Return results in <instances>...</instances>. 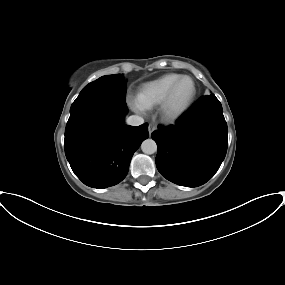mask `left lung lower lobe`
I'll use <instances>...</instances> for the list:
<instances>
[{
	"label": "left lung lower lobe",
	"mask_w": 285,
	"mask_h": 285,
	"mask_svg": "<svg viewBox=\"0 0 285 285\" xmlns=\"http://www.w3.org/2000/svg\"><path fill=\"white\" fill-rule=\"evenodd\" d=\"M151 136L158 147V171L181 186L206 183L227 152V124L214 94L200 98L175 125L159 126Z\"/></svg>",
	"instance_id": "1"
}]
</instances>
